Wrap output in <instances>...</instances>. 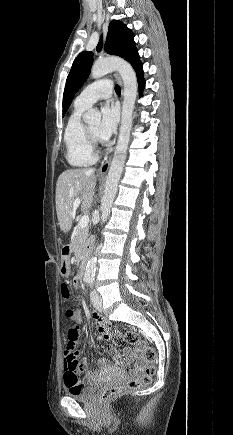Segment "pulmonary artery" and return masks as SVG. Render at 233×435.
I'll return each instance as SVG.
<instances>
[{
  "mask_svg": "<svg viewBox=\"0 0 233 435\" xmlns=\"http://www.w3.org/2000/svg\"><path fill=\"white\" fill-rule=\"evenodd\" d=\"M113 86L108 79L95 81L88 85L75 99V105L89 107L99 99H107L112 94Z\"/></svg>",
  "mask_w": 233,
  "mask_h": 435,
  "instance_id": "pulmonary-artery-1",
  "label": "pulmonary artery"
}]
</instances>
